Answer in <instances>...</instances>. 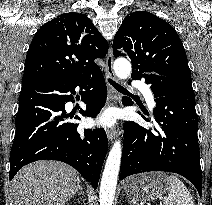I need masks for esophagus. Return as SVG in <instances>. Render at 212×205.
I'll return each instance as SVG.
<instances>
[{"mask_svg":"<svg viewBox=\"0 0 212 205\" xmlns=\"http://www.w3.org/2000/svg\"><path fill=\"white\" fill-rule=\"evenodd\" d=\"M106 73L109 79L116 80L114 71H113V53L111 47L106 56ZM109 96L110 101L113 105L118 103V95L114 89V87L109 84ZM116 137V130L115 129H108L107 130V138L109 141H113Z\"/></svg>","mask_w":212,"mask_h":205,"instance_id":"34e87169","label":"esophagus"}]
</instances>
